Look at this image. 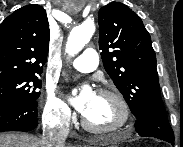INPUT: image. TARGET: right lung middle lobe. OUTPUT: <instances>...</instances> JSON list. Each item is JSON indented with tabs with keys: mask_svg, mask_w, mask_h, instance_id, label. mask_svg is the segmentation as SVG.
Returning a JSON list of instances; mask_svg holds the SVG:
<instances>
[{
	"mask_svg": "<svg viewBox=\"0 0 183 147\" xmlns=\"http://www.w3.org/2000/svg\"><path fill=\"white\" fill-rule=\"evenodd\" d=\"M41 81L37 75L0 79V101L14 99L36 100Z\"/></svg>",
	"mask_w": 183,
	"mask_h": 147,
	"instance_id": "1",
	"label": "right lung middle lobe"
}]
</instances>
